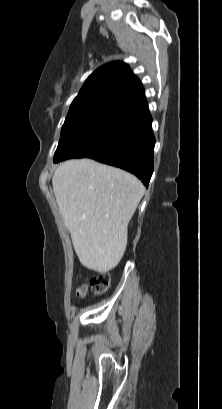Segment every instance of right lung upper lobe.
I'll return each mask as SVG.
<instances>
[{"label": "right lung upper lobe", "mask_w": 222, "mask_h": 409, "mask_svg": "<svg viewBox=\"0 0 222 409\" xmlns=\"http://www.w3.org/2000/svg\"><path fill=\"white\" fill-rule=\"evenodd\" d=\"M146 103L144 88L123 62H111L95 70L86 80L70 109L120 105L126 110Z\"/></svg>", "instance_id": "right-lung-upper-lobe-1"}]
</instances>
